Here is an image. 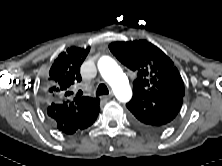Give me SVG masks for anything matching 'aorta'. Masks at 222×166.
Wrapping results in <instances>:
<instances>
[{
	"mask_svg": "<svg viewBox=\"0 0 222 166\" xmlns=\"http://www.w3.org/2000/svg\"><path fill=\"white\" fill-rule=\"evenodd\" d=\"M98 69L103 79L111 86L116 98L120 102H128L132 97V90L126 74L114 59L103 56L98 61Z\"/></svg>",
	"mask_w": 222,
	"mask_h": 166,
	"instance_id": "1",
	"label": "aorta"
}]
</instances>
